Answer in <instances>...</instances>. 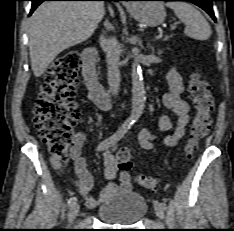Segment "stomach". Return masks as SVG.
Returning <instances> with one entry per match:
<instances>
[{
    "instance_id": "1",
    "label": "stomach",
    "mask_w": 234,
    "mask_h": 231,
    "mask_svg": "<svg viewBox=\"0 0 234 231\" xmlns=\"http://www.w3.org/2000/svg\"><path fill=\"white\" fill-rule=\"evenodd\" d=\"M130 13L138 22L151 27L160 25L166 17L162 2L135 3Z\"/></svg>"
}]
</instances>
